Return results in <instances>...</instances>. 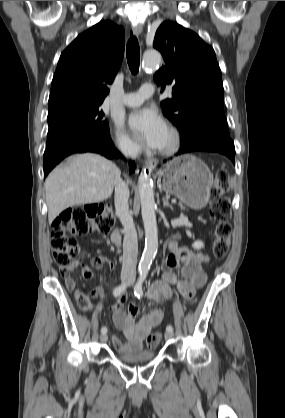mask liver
I'll return each instance as SVG.
<instances>
[{"mask_svg":"<svg viewBox=\"0 0 285 418\" xmlns=\"http://www.w3.org/2000/svg\"><path fill=\"white\" fill-rule=\"evenodd\" d=\"M120 176V169L100 155L71 156L66 166L55 168L45 181L49 223L69 207L108 199Z\"/></svg>","mask_w":285,"mask_h":418,"instance_id":"6515ba94","label":"liver"}]
</instances>
